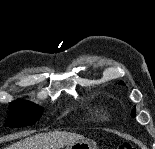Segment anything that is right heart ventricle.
Returning a JSON list of instances; mask_svg holds the SVG:
<instances>
[{
	"mask_svg": "<svg viewBox=\"0 0 155 149\" xmlns=\"http://www.w3.org/2000/svg\"><path fill=\"white\" fill-rule=\"evenodd\" d=\"M92 114L94 115L95 118L97 119H104L105 118V113L103 111L100 110H94L92 112Z\"/></svg>",
	"mask_w": 155,
	"mask_h": 149,
	"instance_id": "right-heart-ventricle-1",
	"label": "right heart ventricle"
}]
</instances>
